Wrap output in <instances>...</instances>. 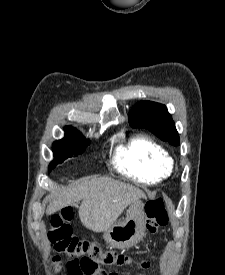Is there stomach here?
<instances>
[{
  "instance_id": "1",
  "label": "stomach",
  "mask_w": 225,
  "mask_h": 275,
  "mask_svg": "<svg viewBox=\"0 0 225 275\" xmlns=\"http://www.w3.org/2000/svg\"><path fill=\"white\" fill-rule=\"evenodd\" d=\"M145 229V204L139 199L130 205L124 220L104 231L103 238L112 248H129L143 238Z\"/></svg>"
}]
</instances>
